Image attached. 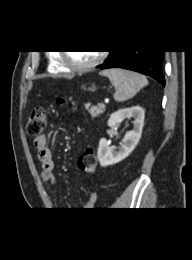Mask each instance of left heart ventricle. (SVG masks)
Segmentation results:
<instances>
[{"label":"left heart ventricle","mask_w":192,"mask_h":260,"mask_svg":"<svg viewBox=\"0 0 192 260\" xmlns=\"http://www.w3.org/2000/svg\"><path fill=\"white\" fill-rule=\"evenodd\" d=\"M98 56L94 51H72L68 53L70 61L75 65H85L92 62Z\"/></svg>","instance_id":"left-heart-ventricle-1"}]
</instances>
